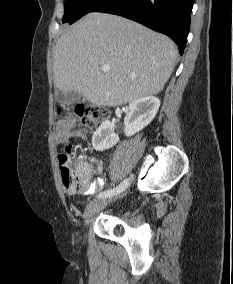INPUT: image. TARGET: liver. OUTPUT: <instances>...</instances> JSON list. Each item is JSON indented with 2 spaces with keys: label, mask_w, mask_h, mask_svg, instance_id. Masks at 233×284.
I'll return each instance as SVG.
<instances>
[{
  "label": "liver",
  "mask_w": 233,
  "mask_h": 284,
  "mask_svg": "<svg viewBox=\"0 0 233 284\" xmlns=\"http://www.w3.org/2000/svg\"><path fill=\"white\" fill-rule=\"evenodd\" d=\"M178 57L175 43L120 16L89 13L54 48V84L96 106L116 107L156 95ZM109 65V71H102Z\"/></svg>",
  "instance_id": "1"
}]
</instances>
